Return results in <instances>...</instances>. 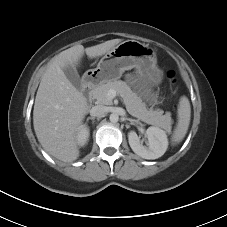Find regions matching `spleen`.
<instances>
[{"label": "spleen", "instance_id": "obj_1", "mask_svg": "<svg viewBox=\"0 0 227 227\" xmlns=\"http://www.w3.org/2000/svg\"><path fill=\"white\" fill-rule=\"evenodd\" d=\"M190 117V102L186 96H182L178 107V122L171 138L173 145L180 143L184 139L190 124Z\"/></svg>", "mask_w": 227, "mask_h": 227}]
</instances>
